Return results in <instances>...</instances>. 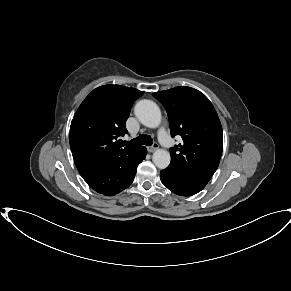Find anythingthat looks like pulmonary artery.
<instances>
[{"mask_svg":"<svg viewBox=\"0 0 291 291\" xmlns=\"http://www.w3.org/2000/svg\"><path fill=\"white\" fill-rule=\"evenodd\" d=\"M158 139L161 143V145L166 149H171L174 146V141L169 136L166 130L161 129L158 133Z\"/></svg>","mask_w":291,"mask_h":291,"instance_id":"obj_1","label":"pulmonary artery"}]
</instances>
